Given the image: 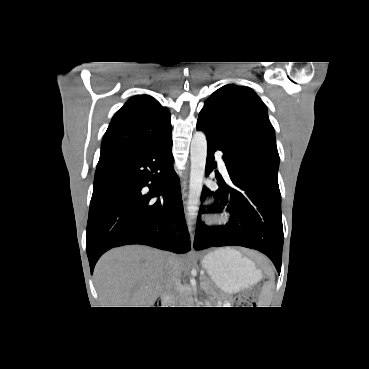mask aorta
<instances>
[{
	"instance_id": "aorta-1",
	"label": "aorta",
	"mask_w": 369,
	"mask_h": 369,
	"mask_svg": "<svg viewBox=\"0 0 369 369\" xmlns=\"http://www.w3.org/2000/svg\"><path fill=\"white\" fill-rule=\"evenodd\" d=\"M191 169L189 194L187 200V220L191 225L198 211V204L203 188L205 165L207 158V140L204 132L196 131L191 141Z\"/></svg>"
}]
</instances>
